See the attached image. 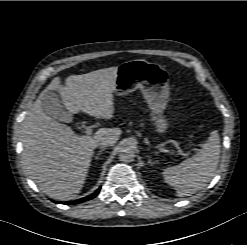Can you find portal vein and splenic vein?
Wrapping results in <instances>:
<instances>
[{"mask_svg": "<svg viewBox=\"0 0 247 245\" xmlns=\"http://www.w3.org/2000/svg\"><path fill=\"white\" fill-rule=\"evenodd\" d=\"M85 133H86L87 135H91V134H92V129H91V127H86ZM178 154L181 155V156H183V157H186V156H187V154L183 153L182 151H179Z\"/></svg>", "mask_w": 247, "mask_h": 245, "instance_id": "18ae733b", "label": "portal vein and splenic vein"}]
</instances>
